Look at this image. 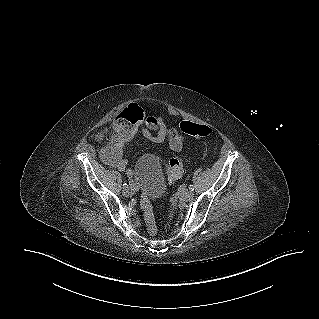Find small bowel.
<instances>
[{"label":"small bowel","instance_id":"1","mask_svg":"<svg viewBox=\"0 0 319 319\" xmlns=\"http://www.w3.org/2000/svg\"><path fill=\"white\" fill-rule=\"evenodd\" d=\"M165 123L162 117L147 114L137 105L136 101H127L126 108H122L116 117L103 123L100 133L106 143L102 146L100 156L102 161L121 172L130 174L127 160L123 157L124 147L139 131L146 138L158 142L157 128ZM181 135H186L182 134ZM171 148V147H170ZM179 152L181 148H171Z\"/></svg>","mask_w":319,"mask_h":319}]
</instances>
